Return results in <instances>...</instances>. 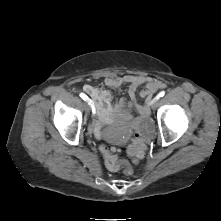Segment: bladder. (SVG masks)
I'll list each match as a JSON object with an SVG mask.
<instances>
[{"label": "bladder", "instance_id": "31cf9c89", "mask_svg": "<svg viewBox=\"0 0 221 221\" xmlns=\"http://www.w3.org/2000/svg\"><path fill=\"white\" fill-rule=\"evenodd\" d=\"M107 139L115 145L122 144L124 142V138L121 135L115 134L111 131L107 133Z\"/></svg>", "mask_w": 221, "mask_h": 221}]
</instances>
